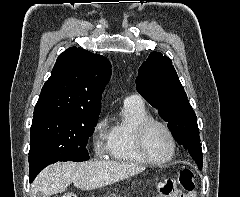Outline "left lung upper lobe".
Listing matches in <instances>:
<instances>
[{
	"instance_id": "obj_1",
	"label": "left lung upper lobe",
	"mask_w": 240,
	"mask_h": 197,
	"mask_svg": "<svg viewBox=\"0 0 240 197\" xmlns=\"http://www.w3.org/2000/svg\"><path fill=\"white\" fill-rule=\"evenodd\" d=\"M138 73L137 91L158 109L176 141L189 151L202 169L203 154L196 115L172 61L160 52H151Z\"/></svg>"
}]
</instances>
